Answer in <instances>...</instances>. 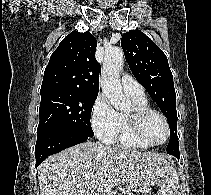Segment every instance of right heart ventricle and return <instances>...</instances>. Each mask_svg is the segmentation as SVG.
Instances as JSON below:
<instances>
[{
  "label": "right heart ventricle",
  "instance_id": "obj_1",
  "mask_svg": "<svg viewBox=\"0 0 211 195\" xmlns=\"http://www.w3.org/2000/svg\"><path fill=\"white\" fill-rule=\"evenodd\" d=\"M138 108H150L146 97L134 98L130 97ZM122 147L130 149H145L148 148L143 143L139 142L132 134L126 114H119V129L115 140Z\"/></svg>",
  "mask_w": 211,
  "mask_h": 195
}]
</instances>
